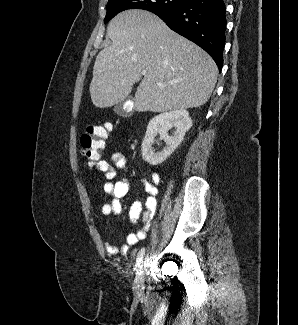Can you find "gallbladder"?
<instances>
[{"label": "gallbladder", "mask_w": 298, "mask_h": 325, "mask_svg": "<svg viewBox=\"0 0 298 325\" xmlns=\"http://www.w3.org/2000/svg\"><path fill=\"white\" fill-rule=\"evenodd\" d=\"M129 100V98H124L122 102H118V104H115L113 110L116 112V114H119V116H128L129 112H127L125 108V104Z\"/></svg>", "instance_id": "obj_1"}]
</instances>
